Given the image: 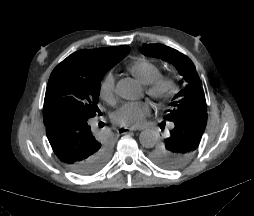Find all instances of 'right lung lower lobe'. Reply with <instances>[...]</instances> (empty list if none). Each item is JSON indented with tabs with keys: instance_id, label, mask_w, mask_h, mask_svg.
Returning <instances> with one entry per match:
<instances>
[{
	"instance_id": "1",
	"label": "right lung lower lobe",
	"mask_w": 254,
	"mask_h": 216,
	"mask_svg": "<svg viewBox=\"0 0 254 216\" xmlns=\"http://www.w3.org/2000/svg\"><path fill=\"white\" fill-rule=\"evenodd\" d=\"M51 148L60 162L82 174L96 170L103 154L89 120L51 115L43 119ZM105 124L99 122V126Z\"/></svg>"
}]
</instances>
